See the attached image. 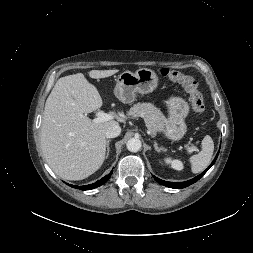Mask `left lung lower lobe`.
Segmentation results:
<instances>
[{
    "instance_id": "obj_1",
    "label": "left lung lower lobe",
    "mask_w": 253,
    "mask_h": 253,
    "mask_svg": "<svg viewBox=\"0 0 253 253\" xmlns=\"http://www.w3.org/2000/svg\"><path fill=\"white\" fill-rule=\"evenodd\" d=\"M218 154H219V152L217 153V155H216L215 159L213 160V162L211 163V165L204 172H202L200 175L196 176L195 178H193L191 180H188L185 182H168V181H163L155 176H153V177L156 181H158L160 184H162L164 186H167L170 188H175V189L185 188V187L197 182L209 170V168L215 163Z\"/></svg>"
}]
</instances>
